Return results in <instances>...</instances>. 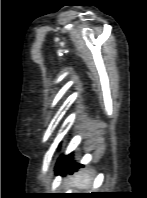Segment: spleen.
<instances>
[{
    "mask_svg": "<svg viewBox=\"0 0 147 198\" xmlns=\"http://www.w3.org/2000/svg\"><path fill=\"white\" fill-rule=\"evenodd\" d=\"M91 182H92V178L89 173H83V174L77 175L73 179V184L76 187L82 188V189L89 188L91 185Z\"/></svg>",
    "mask_w": 147,
    "mask_h": 198,
    "instance_id": "spleen-1",
    "label": "spleen"
}]
</instances>
